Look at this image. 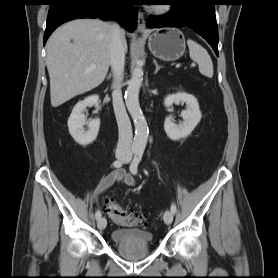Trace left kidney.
I'll return each mask as SVG.
<instances>
[{
	"instance_id": "obj_1",
	"label": "left kidney",
	"mask_w": 278,
	"mask_h": 278,
	"mask_svg": "<svg viewBox=\"0 0 278 278\" xmlns=\"http://www.w3.org/2000/svg\"><path fill=\"white\" fill-rule=\"evenodd\" d=\"M173 103H186L187 106V109L181 112V116L183 118L182 123L175 124L172 122L171 117L165 118L164 130L167 136L171 140L177 141L191 134L200 122L202 115L199 109L198 101L193 95L185 92H178L165 97V107H171Z\"/></svg>"
}]
</instances>
